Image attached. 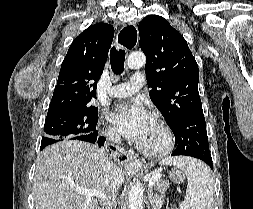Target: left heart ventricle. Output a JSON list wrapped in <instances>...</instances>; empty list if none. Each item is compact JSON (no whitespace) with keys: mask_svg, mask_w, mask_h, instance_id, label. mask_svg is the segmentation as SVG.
I'll return each mask as SVG.
<instances>
[{"mask_svg":"<svg viewBox=\"0 0 253 209\" xmlns=\"http://www.w3.org/2000/svg\"><path fill=\"white\" fill-rule=\"evenodd\" d=\"M165 133L162 127L153 119L144 138L139 142L148 149H159L165 145Z\"/></svg>","mask_w":253,"mask_h":209,"instance_id":"b2bd125f","label":"left heart ventricle"}]
</instances>
